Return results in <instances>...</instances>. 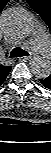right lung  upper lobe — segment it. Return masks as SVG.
<instances>
[{
	"label": "right lung upper lobe",
	"instance_id": "obj_1",
	"mask_svg": "<svg viewBox=\"0 0 51 153\" xmlns=\"http://www.w3.org/2000/svg\"><path fill=\"white\" fill-rule=\"evenodd\" d=\"M8 1L9 0H0V13L5 7V5L8 3ZM10 70H11L10 66H3L0 64V85L4 82Z\"/></svg>",
	"mask_w": 51,
	"mask_h": 153
}]
</instances>
